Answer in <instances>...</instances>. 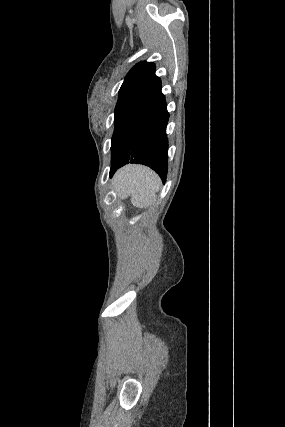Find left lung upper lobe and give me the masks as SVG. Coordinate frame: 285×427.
Masks as SVG:
<instances>
[{
	"instance_id": "1",
	"label": "left lung upper lobe",
	"mask_w": 285,
	"mask_h": 427,
	"mask_svg": "<svg viewBox=\"0 0 285 427\" xmlns=\"http://www.w3.org/2000/svg\"><path fill=\"white\" fill-rule=\"evenodd\" d=\"M160 90L161 81L155 75L153 62H140L129 71L120 88L115 108L111 159L124 130Z\"/></svg>"
}]
</instances>
